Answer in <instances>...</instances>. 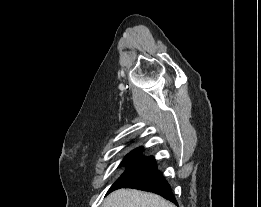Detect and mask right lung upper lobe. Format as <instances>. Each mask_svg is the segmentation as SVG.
Instances as JSON below:
<instances>
[{"mask_svg": "<svg viewBox=\"0 0 261 207\" xmlns=\"http://www.w3.org/2000/svg\"><path fill=\"white\" fill-rule=\"evenodd\" d=\"M142 151L143 147L133 150L124 158V161H154V157L143 156Z\"/></svg>", "mask_w": 261, "mask_h": 207, "instance_id": "1", "label": "right lung upper lobe"}]
</instances>
